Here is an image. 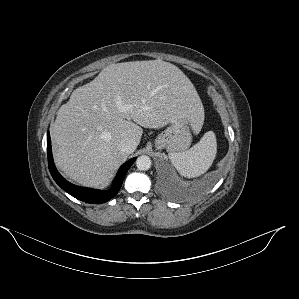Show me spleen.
<instances>
[{
  "mask_svg": "<svg viewBox=\"0 0 299 299\" xmlns=\"http://www.w3.org/2000/svg\"><path fill=\"white\" fill-rule=\"evenodd\" d=\"M216 152V136L213 131H208L189 150L169 153V159L181 176L195 178L210 168Z\"/></svg>",
  "mask_w": 299,
  "mask_h": 299,
  "instance_id": "obj_1",
  "label": "spleen"
}]
</instances>
